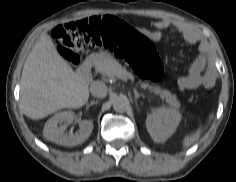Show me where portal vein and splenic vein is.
Returning <instances> with one entry per match:
<instances>
[{"instance_id":"18ae733b","label":"portal vein and splenic vein","mask_w":236,"mask_h":182,"mask_svg":"<svg viewBox=\"0 0 236 182\" xmlns=\"http://www.w3.org/2000/svg\"><path fill=\"white\" fill-rule=\"evenodd\" d=\"M114 75L117 76L120 79L127 80V77H125L124 75H122L120 73H114Z\"/></svg>"}]
</instances>
